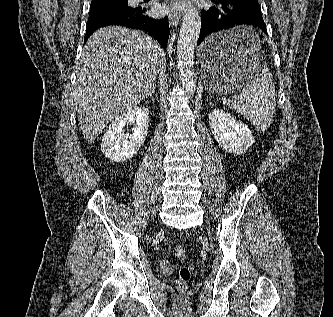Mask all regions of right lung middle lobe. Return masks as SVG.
I'll list each match as a JSON object with an SVG mask.
<instances>
[{
    "label": "right lung middle lobe",
    "instance_id": "right-lung-middle-lobe-1",
    "mask_svg": "<svg viewBox=\"0 0 333 317\" xmlns=\"http://www.w3.org/2000/svg\"><path fill=\"white\" fill-rule=\"evenodd\" d=\"M103 7H128L127 0H92L90 10Z\"/></svg>",
    "mask_w": 333,
    "mask_h": 317
}]
</instances>
